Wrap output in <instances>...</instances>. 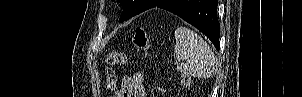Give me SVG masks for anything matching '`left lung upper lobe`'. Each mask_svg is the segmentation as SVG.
<instances>
[{
  "mask_svg": "<svg viewBox=\"0 0 302 97\" xmlns=\"http://www.w3.org/2000/svg\"><path fill=\"white\" fill-rule=\"evenodd\" d=\"M123 6L119 22H123L151 7L155 0H118Z\"/></svg>",
  "mask_w": 302,
  "mask_h": 97,
  "instance_id": "5c2ea615",
  "label": "left lung upper lobe"
}]
</instances>
